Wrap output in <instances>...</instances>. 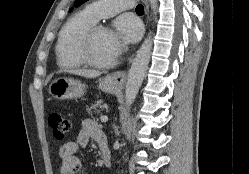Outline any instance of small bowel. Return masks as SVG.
I'll use <instances>...</instances> for the list:
<instances>
[{
  "instance_id": "1",
  "label": "small bowel",
  "mask_w": 249,
  "mask_h": 174,
  "mask_svg": "<svg viewBox=\"0 0 249 174\" xmlns=\"http://www.w3.org/2000/svg\"><path fill=\"white\" fill-rule=\"evenodd\" d=\"M90 139H93L99 146L101 143H107L106 136L99 125L93 120L85 119L82 121L81 129L75 140L66 142L59 149L61 160L59 174H88L77 152L86 147Z\"/></svg>"
}]
</instances>
